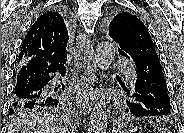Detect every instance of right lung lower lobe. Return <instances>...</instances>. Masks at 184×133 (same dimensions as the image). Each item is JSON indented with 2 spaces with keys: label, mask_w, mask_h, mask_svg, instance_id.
<instances>
[{
  "label": "right lung lower lobe",
  "mask_w": 184,
  "mask_h": 133,
  "mask_svg": "<svg viewBox=\"0 0 184 133\" xmlns=\"http://www.w3.org/2000/svg\"><path fill=\"white\" fill-rule=\"evenodd\" d=\"M64 14L70 25V18L65 12ZM65 63L66 60L49 63L39 57L21 63L15 74L14 102L43 107L62 104L61 91L51 89L49 83L56 72L64 76Z\"/></svg>",
  "instance_id": "obj_1"
}]
</instances>
